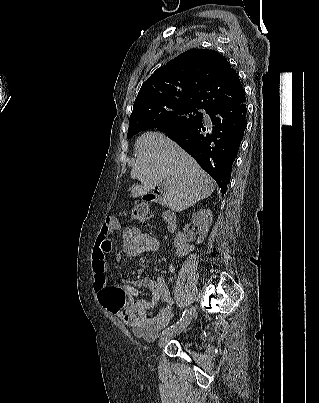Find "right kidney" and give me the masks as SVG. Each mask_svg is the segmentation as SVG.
Returning a JSON list of instances; mask_svg holds the SVG:
<instances>
[{
	"label": "right kidney",
	"instance_id": "obj_1",
	"mask_svg": "<svg viewBox=\"0 0 319 403\" xmlns=\"http://www.w3.org/2000/svg\"><path fill=\"white\" fill-rule=\"evenodd\" d=\"M192 223L198 229L199 237L197 243L203 242L207 236L208 231L213 223V213L210 209H202L192 215ZM193 239L187 237L184 233L178 232L174 238V246L178 257L186 256L189 252L193 251L195 247L190 245L189 242Z\"/></svg>",
	"mask_w": 319,
	"mask_h": 403
}]
</instances>
